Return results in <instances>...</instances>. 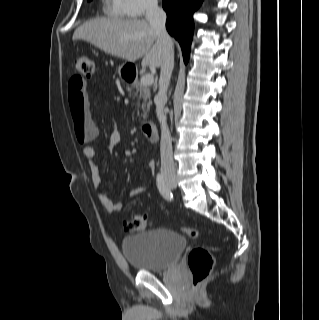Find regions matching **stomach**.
I'll return each instance as SVG.
<instances>
[{"label":"stomach","mask_w":319,"mask_h":320,"mask_svg":"<svg viewBox=\"0 0 319 320\" xmlns=\"http://www.w3.org/2000/svg\"><path fill=\"white\" fill-rule=\"evenodd\" d=\"M125 68H126V63H124L121 66H119L118 73H119L120 76H123L126 73Z\"/></svg>","instance_id":"stomach-1"}]
</instances>
